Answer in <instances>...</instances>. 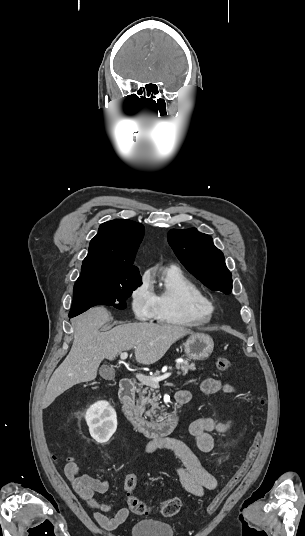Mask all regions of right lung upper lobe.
I'll use <instances>...</instances> for the list:
<instances>
[{"label":"right lung upper lobe","mask_w":305,"mask_h":536,"mask_svg":"<svg viewBox=\"0 0 305 536\" xmlns=\"http://www.w3.org/2000/svg\"><path fill=\"white\" fill-rule=\"evenodd\" d=\"M144 235V226L130 220H112L100 225L91 240L80 277H141L134 262Z\"/></svg>","instance_id":"1"}]
</instances>
